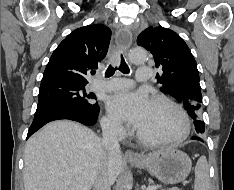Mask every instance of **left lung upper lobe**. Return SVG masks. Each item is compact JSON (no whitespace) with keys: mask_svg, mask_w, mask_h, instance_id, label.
<instances>
[{"mask_svg":"<svg viewBox=\"0 0 234 190\" xmlns=\"http://www.w3.org/2000/svg\"><path fill=\"white\" fill-rule=\"evenodd\" d=\"M137 44L153 54L156 67L163 71L162 75H156L157 82L162 84L161 91L181 102L194 120L197 133H203L199 73L187 44L177 33L161 26L145 29Z\"/></svg>","mask_w":234,"mask_h":190,"instance_id":"left-lung-upper-lobe-1","label":"left lung upper lobe"}]
</instances>
